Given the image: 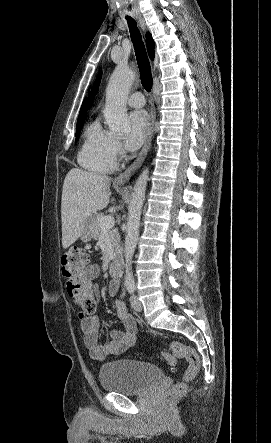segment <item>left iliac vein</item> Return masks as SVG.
I'll return each mask as SVG.
<instances>
[{"mask_svg":"<svg viewBox=\"0 0 271 443\" xmlns=\"http://www.w3.org/2000/svg\"><path fill=\"white\" fill-rule=\"evenodd\" d=\"M130 304H131V307L135 311H137V312H141L142 311V308H143L142 304H141V302L139 301V299H138V297L136 295H132L130 297Z\"/></svg>","mask_w":271,"mask_h":443,"instance_id":"obj_1","label":"left iliac vein"}]
</instances>
